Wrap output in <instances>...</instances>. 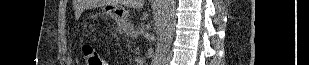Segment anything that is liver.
Wrapping results in <instances>:
<instances>
[{"instance_id": "1", "label": "liver", "mask_w": 309, "mask_h": 65, "mask_svg": "<svg viewBox=\"0 0 309 65\" xmlns=\"http://www.w3.org/2000/svg\"><path fill=\"white\" fill-rule=\"evenodd\" d=\"M143 0H117L111 2L113 5H125L133 8H140L143 5Z\"/></svg>"}]
</instances>
